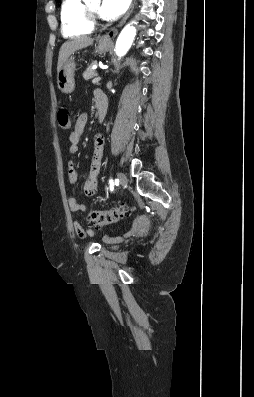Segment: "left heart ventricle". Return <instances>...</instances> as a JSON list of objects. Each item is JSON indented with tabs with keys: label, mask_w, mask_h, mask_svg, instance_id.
Returning <instances> with one entry per match:
<instances>
[{
	"label": "left heart ventricle",
	"mask_w": 254,
	"mask_h": 397,
	"mask_svg": "<svg viewBox=\"0 0 254 397\" xmlns=\"http://www.w3.org/2000/svg\"><path fill=\"white\" fill-rule=\"evenodd\" d=\"M93 11L97 12L99 11V3H95L89 6Z\"/></svg>",
	"instance_id": "b2bd125f"
}]
</instances>
